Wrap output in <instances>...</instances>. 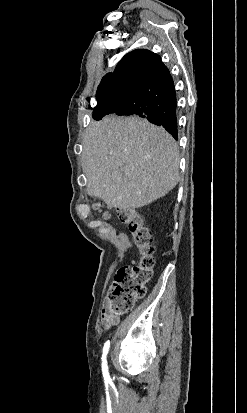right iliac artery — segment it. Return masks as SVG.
<instances>
[{
    "label": "right iliac artery",
    "mask_w": 247,
    "mask_h": 413,
    "mask_svg": "<svg viewBox=\"0 0 247 413\" xmlns=\"http://www.w3.org/2000/svg\"><path fill=\"white\" fill-rule=\"evenodd\" d=\"M109 347H110V341L108 340V341L104 344V347H103V355H102V372H103L104 378L109 377L107 360H106V356H107V354H108Z\"/></svg>",
    "instance_id": "obj_1"
}]
</instances>
